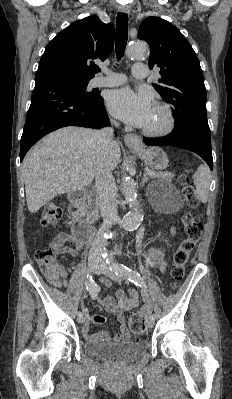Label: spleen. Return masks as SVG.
<instances>
[{
	"mask_svg": "<svg viewBox=\"0 0 232 399\" xmlns=\"http://www.w3.org/2000/svg\"><path fill=\"white\" fill-rule=\"evenodd\" d=\"M194 184L196 186V194L198 200L206 203L209 196V188L211 184V172L208 166H199L197 172L193 176Z\"/></svg>",
	"mask_w": 232,
	"mask_h": 399,
	"instance_id": "3e777b00",
	"label": "spleen"
}]
</instances>
